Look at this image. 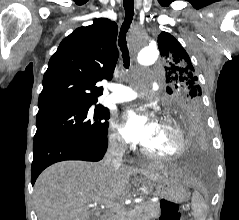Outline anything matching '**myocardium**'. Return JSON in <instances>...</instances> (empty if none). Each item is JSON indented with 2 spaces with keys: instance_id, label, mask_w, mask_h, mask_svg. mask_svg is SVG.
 Masks as SVG:
<instances>
[{
  "instance_id": "f54148a6",
  "label": "myocardium",
  "mask_w": 239,
  "mask_h": 220,
  "mask_svg": "<svg viewBox=\"0 0 239 220\" xmlns=\"http://www.w3.org/2000/svg\"><path fill=\"white\" fill-rule=\"evenodd\" d=\"M159 122L170 126L176 133L178 139L177 149L172 154H162L156 153L147 149L144 145L141 147V151L144 155L149 158L162 160V161H172L180 158L184 155L187 148V141L182 127L171 117L162 116L159 118Z\"/></svg>"
}]
</instances>
